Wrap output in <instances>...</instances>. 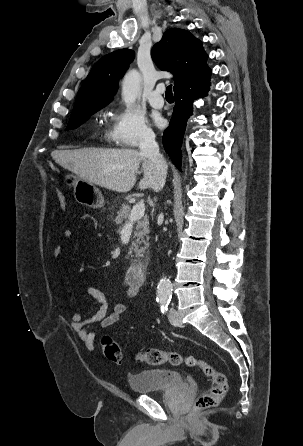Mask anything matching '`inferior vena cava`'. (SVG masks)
Listing matches in <instances>:
<instances>
[{
    "label": "inferior vena cava",
    "instance_id": "602c4592",
    "mask_svg": "<svg viewBox=\"0 0 303 446\" xmlns=\"http://www.w3.org/2000/svg\"><path fill=\"white\" fill-rule=\"evenodd\" d=\"M140 153L146 156L155 166L159 177L164 184L167 174V164L164 157L159 152V146L155 141L153 133L146 134L139 145Z\"/></svg>",
    "mask_w": 303,
    "mask_h": 446
}]
</instances>
